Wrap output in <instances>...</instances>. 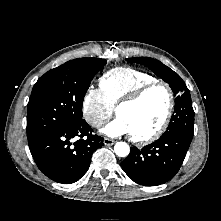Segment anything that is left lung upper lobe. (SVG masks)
Listing matches in <instances>:
<instances>
[{
  "label": "left lung upper lobe",
  "mask_w": 221,
  "mask_h": 221,
  "mask_svg": "<svg viewBox=\"0 0 221 221\" xmlns=\"http://www.w3.org/2000/svg\"><path fill=\"white\" fill-rule=\"evenodd\" d=\"M126 60L148 67L167 82L176 95L175 110L164 134L177 133L193 138L194 110L190 92L180 76L160 61L150 57L127 58Z\"/></svg>",
  "instance_id": "obj_1"
}]
</instances>
